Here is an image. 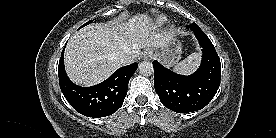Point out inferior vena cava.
Returning a JSON list of instances; mask_svg holds the SVG:
<instances>
[{
	"label": "inferior vena cava",
	"instance_id": "inferior-vena-cava-1",
	"mask_svg": "<svg viewBox=\"0 0 276 138\" xmlns=\"http://www.w3.org/2000/svg\"><path fill=\"white\" fill-rule=\"evenodd\" d=\"M135 59V55L130 50H125L117 55V60L121 65L131 64Z\"/></svg>",
	"mask_w": 276,
	"mask_h": 138
}]
</instances>
